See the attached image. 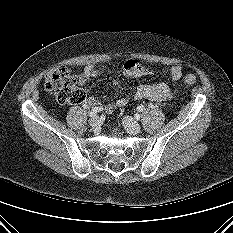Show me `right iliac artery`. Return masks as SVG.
I'll return each instance as SVG.
<instances>
[{
  "label": "right iliac artery",
  "instance_id": "right-iliac-artery-1",
  "mask_svg": "<svg viewBox=\"0 0 233 233\" xmlns=\"http://www.w3.org/2000/svg\"><path fill=\"white\" fill-rule=\"evenodd\" d=\"M103 108L102 107H95L93 108L91 111H89V117H93V116H96L97 113H99L100 111H102Z\"/></svg>",
  "mask_w": 233,
  "mask_h": 233
}]
</instances>
